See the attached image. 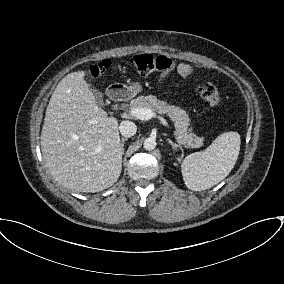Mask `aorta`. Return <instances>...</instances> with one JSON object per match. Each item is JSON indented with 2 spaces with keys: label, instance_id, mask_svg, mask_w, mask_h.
<instances>
[{
  "label": "aorta",
  "instance_id": "762f6f07",
  "mask_svg": "<svg viewBox=\"0 0 284 284\" xmlns=\"http://www.w3.org/2000/svg\"><path fill=\"white\" fill-rule=\"evenodd\" d=\"M144 149L151 151L156 147V140L154 138H146L143 143Z\"/></svg>",
  "mask_w": 284,
  "mask_h": 284
}]
</instances>
